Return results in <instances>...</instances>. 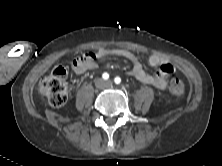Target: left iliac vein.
Wrapping results in <instances>:
<instances>
[{"instance_id": "4c4485c4", "label": "left iliac vein", "mask_w": 222, "mask_h": 166, "mask_svg": "<svg viewBox=\"0 0 222 166\" xmlns=\"http://www.w3.org/2000/svg\"><path fill=\"white\" fill-rule=\"evenodd\" d=\"M106 84L110 86L112 84V81L109 80L106 82Z\"/></svg>"}]
</instances>
